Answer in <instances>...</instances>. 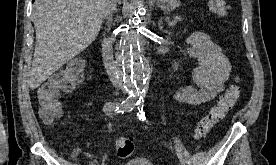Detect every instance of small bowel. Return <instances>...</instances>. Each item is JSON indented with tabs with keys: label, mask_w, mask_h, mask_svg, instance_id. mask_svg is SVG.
Returning <instances> with one entry per match:
<instances>
[{
	"label": "small bowel",
	"mask_w": 276,
	"mask_h": 165,
	"mask_svg": "<svg viewBox=\"0 0 276 165\" xmlns=\"http://www.w3.org/2000/svg\"><path fill=\"white\" fill-rule=\"evenodd\" d=\"M185 53L195 58L198 66L193 71L195 86H184L176 90V100L190 105H199L213 100L224 89L231 74V64L221 47L209 35L193 32L187 39ZM178 68L175 62L172 72Z\"/></svg>",
	"instance_id": "small-bowel-1"
}]
</instances>
